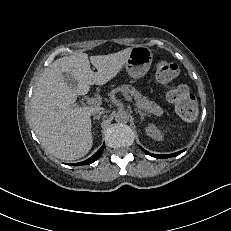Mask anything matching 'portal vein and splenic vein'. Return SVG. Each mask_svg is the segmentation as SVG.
Wrapping results in <instances>:
<instances>
[{
  "mask_svg": "<svg viewBox=\"0 0 231 231\" xmlns=\"http://www.w3.org/2000/svg\"><path fill=\"white\" fill-rule=\"evenodd\" d=\"M124 97L127 101L132 102V98L129 95L124 94ZM87 103L89 105L99 106L101 104V99L100 98H89L87 99Z\"/></svg>",
  "mask_w": 231,
  "mask_h": 231,
  "instance_id": "obj_1",
  "label": "portal vein and splenic vein"
}]
</instances>
